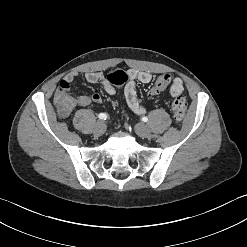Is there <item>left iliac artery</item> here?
I'll list each match as a JSON object with an SVG mask.
<instances>
[{"mask_svg": "<svg viewBox=\"0 0 247 247\" xmlns=\"http://www.w3.org/2000/svg\"><path fill=\"white\" fill-rule=\"evenodd\" d=\"M142 121L143 122H147L148 121V118L147 117H142Z\"/></svg>", "mask_w": 247, "mask_h": 247, "instance_id": "obj_1", "label": "left iliac artery"}]
</instances>
